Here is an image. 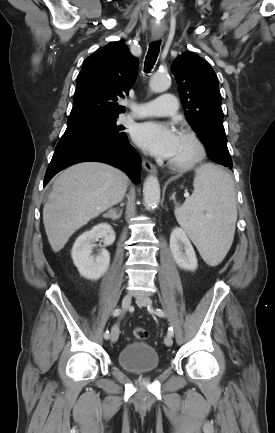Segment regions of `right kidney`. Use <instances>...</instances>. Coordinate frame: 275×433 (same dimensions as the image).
I'll return each instance as SVG.
<instances>
[{
  "label": "right kidney",
  "instance_id": "1",
  "mask_svg": "<svg viewBox=\"0 0 275 433\" xmlns=\"http://www.w3.org/2000/svg\"><path fill=\"white\" fill-rule=\"evenodd\" d=\"M103 238L104 245H111L115 241V232L107 223L94 226L91 230L80 235L72 248L71 256L81 276L97 280L105 274L110 263L109 252L102 248L100 253L92 256L95 240Z\"/></svg>",
  "mask_w": 275,
  "mask_h": 433
}]
</instances>
